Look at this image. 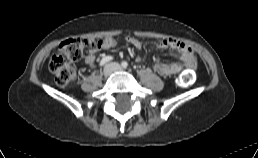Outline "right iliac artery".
<instances>
[{
    "label": "right iliac artery",
    "mask_w": 258,
    "mask_h": 158,
    "mask_svg": "<svg viewBox=\"0 0 258 158\" xmlns=\"http://www.w3.org/2000/svg\"><path fill=\"white\" fill-rule=\"evenodd\" d=\"M113 58L111 56H106L105 58H103L100 62V66H104L106 63L110 62Z\"/></svg>",
    "instance_id": "82829eb1"
}]
</instances>
